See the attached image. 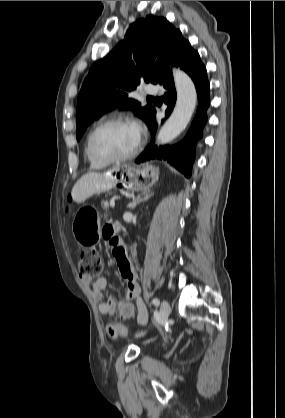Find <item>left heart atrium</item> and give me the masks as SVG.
<instances>
[{
  "mask_svg": "<svg viewBox=\"0 0 285 418\" xmlns=\"http://www.w3.org/2000/svg\"><path fill=\"white\" fill-rule=\"evenodd\" d=\"M129 127L131 128V130L133 131L136 139L139 138L140 132H141V124L140 122L133 120L130 124Z\"/></svg>",
  "mask_w": 285,
  "mask_h": 418,
  "instance_id": "1",
  "label": "left heart atrium"
}]
</instances>
